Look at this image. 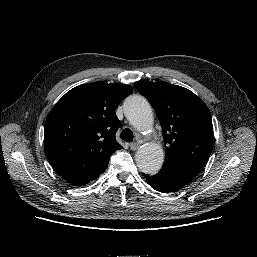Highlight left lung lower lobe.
<instances>
[{"mask_svg": "<svg viewBox=\"0 0 257 257\" xmlns=\"http://www.w3.org/2000/svg\"><path fill=\"white\" fill-rule=\"evenodd\" d=\"M144 176L155 190L163 193L178 191L196 177L186 170L164 164L158 174Z\"/></svg>", "mask_w": 257, "mask_h": 257, "instance_id": "left-lung-lower-lobe-1", "label": "left lung lower lobe"}]
</instances>
